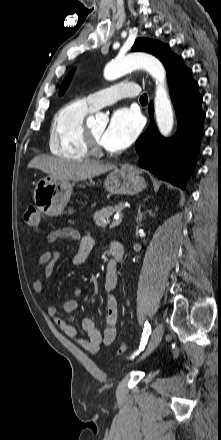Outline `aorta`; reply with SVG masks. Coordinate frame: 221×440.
<instances>
[{
	"instance_id": "762f6f07",
	"label": "aorta",
	"mask_w": 221,
	"mask_h": 440,
	"mask_svg": "<svg viewBox=\"0 0 221 440\" xmlns=\"http://www.w3.org/2000/svg\"><path fill=\"white\" fill-rule=\"evenodd\" d=\"M144 68L156 81V95L154 100L156 123L160 133L168 136L174 124L171 100L166 89V71L162 63L147 53H131L122 58H116L105 67L104 77L115 80L129 71Z\"/></svg>"
}]
</instances>
